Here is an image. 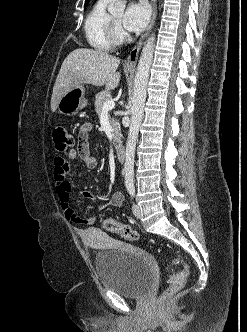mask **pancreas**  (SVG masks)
Masks as SVG:
<instances>
[{
	"label": "pancreas",
	"mask_w": 247,
	"mask_h": 332,
	"mask_svg": "<svg viewBox=\"0 0 247 332\" xmlns=\"http://www.w3.org/2000/svg\"><path fill=\"white\" fill-rule=\"evenodd\" d=\"M108 100H112L111 93L109 91H102L96 95L95 109H96V113L98 114V116L101 115V112L103 110V105ZM109 120H110V125L113 129L114 142L118 143V142H120V139H121L119 123L117 120L110 118V116H109Z\"/></svg>",
	"instance_id": "obj_1"
}]
</instances>
